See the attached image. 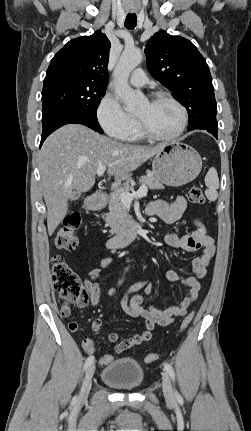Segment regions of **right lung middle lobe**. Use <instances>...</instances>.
<instances>
[{
  "label": "right lung middle lobe",
  "instance_id": "right-lung-middle-lobe-1",
  "mask_svg": "<svg viewBox=\"0 0 251 431\" xmlns=\"http://www.w3.org/2000/svg\"><path fill=\"white\" fill-rule=\"evenodd\" d=\"M107 84L63 71L47 72L42 90V118L62 110L96 118Z\"/></svg>",
  "mask_w": 251,
  "mask_h": 431
}]
</instances>
